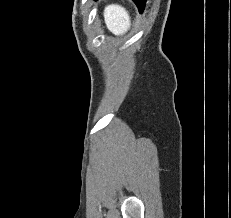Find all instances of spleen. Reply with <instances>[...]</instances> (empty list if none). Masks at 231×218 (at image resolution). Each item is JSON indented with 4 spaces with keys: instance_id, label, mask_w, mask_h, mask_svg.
<instances>
[{
    "instance_id": "obj_1",
    "label": "spleen",
    "mask_w": 231,
    "mask_h": 218,
    "mask_svg": "<svg viewBox=\"0 0 231 218\" xmlns=\"http://www.w3.org/2000/svg\"><path fill=\"white\" fill-rule=\"evenodd\" d=\"M104 20L107 28L115 35H122L130 27L128 12L119 5H108L104 10Z\"/></svg>"
}]
</instances>
